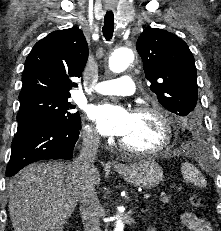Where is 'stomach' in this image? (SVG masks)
I'll return each mask as SVG.
<instances>
[{
    "instance_id": "obj_1",
    "label": "stomach",
    "mask_w": 221,
    "mask_h": 231,
    "mask_svg": "<svg viewBox=\"0 0 221 231\" xmlns=\"http://www.w3.org/2000/svg\"><path fill=\"white\" fill-rule=\"evenodd\" d=\"M116 171L128 183L145 189L154 188L163 180L162 168L151 159L140 160L125 164L122 167H116Z\"/></svg>"
}]
</instances>
